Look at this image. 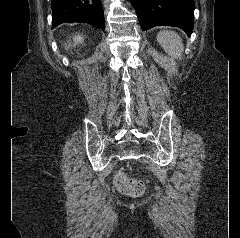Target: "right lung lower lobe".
<instances>
[{
	"mask_svg": "<svg viewBox=\"0 0 240 238\" xmlns=\"http://www.w3.org/2000/svg\"><path fill=\"white\" fill-rule=\"evenodd\" d=\"M52 28L65 22H87L104 29L100 0H52Z\"/></svg>",
	"mask_w": 240,
	"mask_h": 238,
	"instance_id": "right-lung-lower-lobe-1",
	"label": "right lung lower lobe"
}]
</instances>
